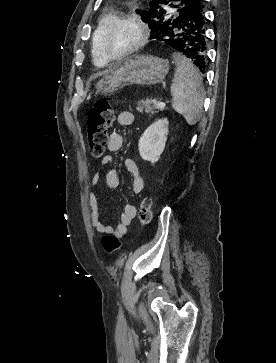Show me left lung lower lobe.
Instances as JSON below:
<instances>
[{
    "instance_id": "0a47b994",
    "label": "left lung lower lobe",
    "mask_w": 276,
    "mask_h": 363,
    "mask_svg": "<svg viewBox=\"0 0 276 363\" xmlns=\"http://www.w3.org/2000/svg\"><path fill=\"white\" fill-rule=\"evenodd\" d=\"M165 28L156 33L154 39L180 51L203 72L207 61L204 0H188Z\"/></svg>"
}]
</instances>
